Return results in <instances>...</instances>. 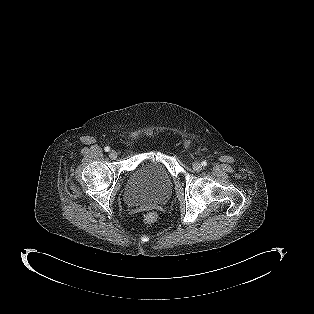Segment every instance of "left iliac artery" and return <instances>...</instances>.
<instances>
[{
  "instance_id": "left-iliac-artery-1",
  "label": "left iliac artery",
  "mask_w": 314,
  "mask_h": 314,
  "mask_svg": "<svg viewBox=\"0 0 314 314\" xmlns=\"http://www.w3.org/2000/svg\"><path fill=\"white\" fill-rule=\"evenodd\" d=\"M201 165L205 167V166H207V162H206V161H203V162L201 163Z\"/></svg>"
}]
</instances>
